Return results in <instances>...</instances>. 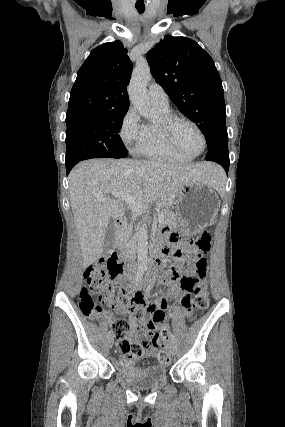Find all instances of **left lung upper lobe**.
Returning a JSON list of instances; mask_svg holds the SVG:
<instances>
[{"label": "left lung upper lobe", "instance_id": "1", "mask_svg": "<svg viewBox=\"0 0 285 427\" xmlns=\"http://www.w3.org/2000/svg\"><path fill=\"white\" fill-rule=\"evenodd\" d=\"M146 59L156 82L205 135L208 148L215 139L228 137L222 81L197 42L167 35Z\"/></svg>", "mask_w": 285, "mask_h": 427}]
</instances>
